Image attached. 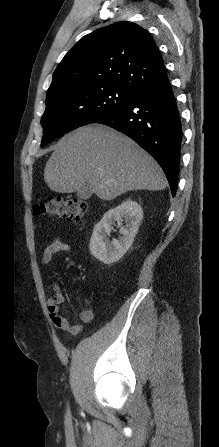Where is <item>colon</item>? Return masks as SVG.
<instances>
[{"mask_svg": "<svg viewBox=\"0 0 219 447\" xmlns=\"http://www.w3.org/2000/svg\"><path fill=\"white\" fill-rule=\"evenodd\" d=\"M38 215L64 218L75 224L84 221L89 212L87 203L78 198L54 197L40 201L35 206Z\"/></svg>", "mask_w": 219, "mask_h": 447, "instance_id": "obj_1", "label": "colon"}]
</instances>
